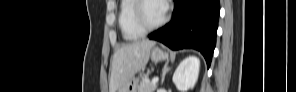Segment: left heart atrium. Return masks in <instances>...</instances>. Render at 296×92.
<instances>
[{"instance_id": "1", "label": "left heart atrium", "mask_w": 296, "mask_h": 92, "mask_svg": "<svg viewBox=\"0 0 296 92\" xmlns=\"http://www.w3.org/2000/svg\"><path fill=\"white\" fill-rule=\"evenodd\" d=\"M161 4H162V9L165 12V10H166V3L165 2H162Z\"/></svg>"}]
</instances>
